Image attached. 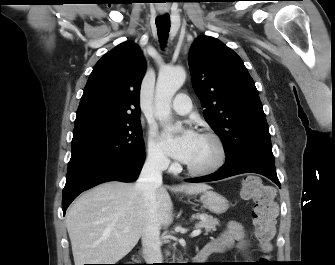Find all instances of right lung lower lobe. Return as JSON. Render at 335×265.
I'll use <instances>...</instances> for the list:
<instances>
[{"label":"right lung lower lobe","mask_w":335,"mask_h":265,"mask_svg":"<svg viewBox=\"0 0 335 265\" xmlns=\"http://www.w3.org/2000/svg\"><path fill=\"white\" fill-rule=\"evenodd\" d=\"M144 156L131 161L93 160L68 168L62 193L65 215L70 203L83 191L107 181L132 182L137 179Z\"/></svg>","instance_id":"98d812e1"}]
</instances>
